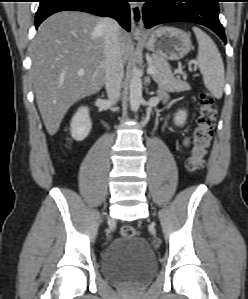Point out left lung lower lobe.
Instances as JSON below:
<instances>
[{
	"label": "left lung lower lobe",
	"mask_w": 248,
	"mask_h": 299,
	"mask_svg": "<svg viewBox=\"0 0 248 299\" xmlns=\"http://www.w3.org/2000/svg\"><path fill=\"white\" fill-rule=\"evenodd\" d=\"M219 0H146L143 20L146 28L155 25L187 21L204 25L226 43L224 29L219 21Z\"/></svg>",
	"instance_id": "0a47b994"
}]
</instances>
